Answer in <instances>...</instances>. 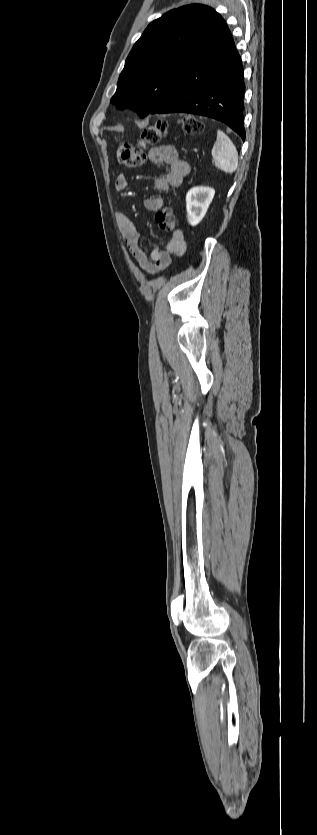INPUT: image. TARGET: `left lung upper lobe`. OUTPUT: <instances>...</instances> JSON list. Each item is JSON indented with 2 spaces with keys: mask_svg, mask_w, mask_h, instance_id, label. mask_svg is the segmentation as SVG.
I'll list each match as a JSON object with an SVG mask.
<instances>
[{
  "mask_svg": "<svg viewBox=\"0 0 317 835\" xmlns=\"http://www.w3.org/2000/svg\"><path fill=\"white\" fill-rule=\"evenodd\" d=\"M221 21L212 8L194 4L150 23L125 61L111 102L125 103L142 117L166 105Z\"/></svg>",
  "mask_w": 317,
  "mask_h": 835,
  "instance_id": "obj_1",
  "label": "left lung upper lobe"
}]
</instances>
